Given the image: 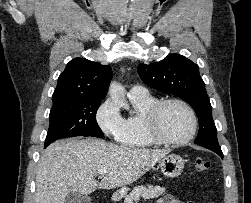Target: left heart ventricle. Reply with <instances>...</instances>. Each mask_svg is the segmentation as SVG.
I'll list each match as a JSON object with an SVG mask.
<instances>
[{
  "mask_svg": "<svg viewBox=\"0 0 251 203\" xmlns=\"http://www.w3.org/2000/svg\"><path fill=\"white\" fill-rule=\"evenodd\" d=\"M191 118L186 109L176 103L166 105L160 114L159 130L168 139L179 140L191 130Z\"/></svg>",
  "mask_w": 251,
  "mask_h": 203,
  "instance_id": "left-heart-ventricle-1",
  "label": "left heart ventricle"
}]
</instances>
